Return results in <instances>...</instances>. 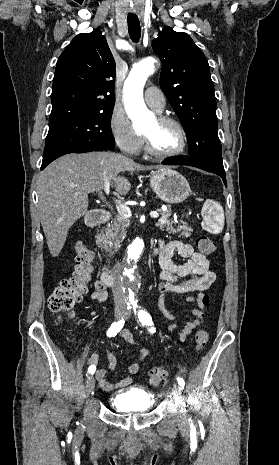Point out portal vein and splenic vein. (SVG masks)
Instances as JSON below:
<instances>
[{
	"label": "portal vein and splenic vein",
	"instance_id": "obj_1",
	"mask_svg": "<svg viewBox=\"0 0 279 465\" xmlns=\"http://www.w3.org/2000/svg\"><path fill=\"white\" fill-rule=\"evenodd\" d=\"M104 191H105L106 194L110 193V182L109 181L105 182ZM115 204H116L117 211L121 216H123L125 218H130L131 217V210H130V208L128 206L122 204L121 201H119V200H115ZM150 216L152 218H158L159 214L156 211H152L150 213Z\"/></svg>",
	"mask_w": 279,
	"mask_h": 465
}]
</instances>
